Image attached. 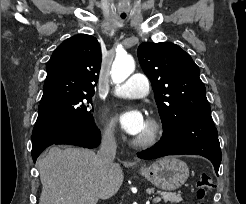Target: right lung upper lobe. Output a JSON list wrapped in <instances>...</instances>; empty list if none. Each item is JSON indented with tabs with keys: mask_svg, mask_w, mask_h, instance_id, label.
Instances as JSON below:
<instances>
[{
	"mask_svg": "<svg viewBox=\"0 0 246 204\" xmlns=\"http://www.w3.org/2000/svg\"><path fill=\"white\" fill-rule=\"evenodd\" d=\"M101 67V49L90 35H75L54 50L46 65L41 101L69 93H94Z\"/></svg>",
	"mask_w": 246,
	"mask_h": 204,
	"instance_id": "obj_1",
	"label": "right lung upper lobe"
}]
</instances>
